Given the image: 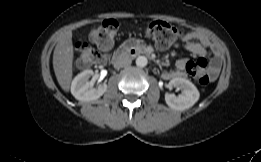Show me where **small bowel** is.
Instances as JSON below:
<instances>
[{"instance_id":"obj_1","label":"small bowel","mask_w":261,"mask_h":162,"mask_svg":"<svg viewBox=\"0 0 261 162\" xmlns=\"http://www.w3.org/2000/svg\"><path fill=\"white\" fill-rule=\"evenodd\" d=\"M184 48L186 51H188L189 53H192L194 55H198L201 57H205L207 56V50L205 47H203L202 45H200L199 43H197L195 41V37L193 35H190L186 38L185 42H184ZM189 63L188 60H181L179 62L180 66H185Z\"/></svg>"}]
</instances>
